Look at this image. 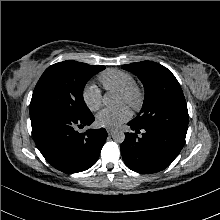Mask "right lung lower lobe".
Listing matches in <instances>:
<instances>
[{
  "mask_svg": "<svg viewBox=\"0 0 220 220\" xmlns=\"http://www.w3.org/2000/svg\"><path fill=\"white\" fill-rule=\"evenodd\" d=\"M32 134L37 148L54 168L65 173L92 167L106 141L104 128L78 133L75 128L90 125L92 113L76 117L47 106L30 107Z\"/></svg>",
  "mask_w": 220,
  "mask_h": 220,
  "instance_id": "obj_1",
  "label": "right lung lower lobe"
}]
</instances>
